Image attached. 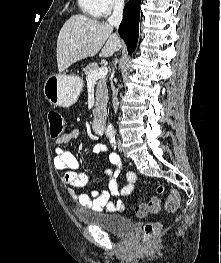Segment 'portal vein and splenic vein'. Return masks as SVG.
<instances>
[{
    "label": "portal vein and splenic vein",
    "instance_id": "1",
    "mask_svg": "<svg viewBox=\"0 0 221 263\" xmlns=\"http://www.w3.org/2000/svg\"><path fill=\"white\" fill-rule=\"evenodd\" d=\"M107 73H108L107 67L99 68L98 70L92 71L89 74L87 81L88 83L95 82L98 79L105 77Z\"/></svg>",
    "mask_w": 221,
    "mask_h": 263
}]
</instances>
